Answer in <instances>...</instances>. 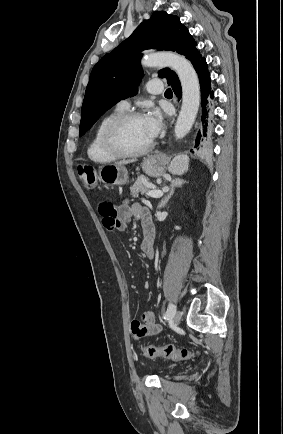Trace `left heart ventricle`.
I'll return each mask as SVG.
<instances>
[{
	"mask_svg": "<svg viewBox=\"0 0 283 434\" xmlns=\"http://www.w3.org/2000/svg\"><path fill=\"white\" fill-rule=\"evenodd\" d=\"M143 117L132 120L120 132L122 145L129 150H138L151 142Z\"/></svg>",
	"mask_w": 283,
	"mask_h": 434,
	"instance_id": "left-heart-ventricle-1",
	"label": "left heart ventricle"
}]
</instances>
